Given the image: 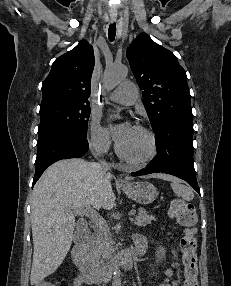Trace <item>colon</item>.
<instances>
[{"label": "colon", "mask_w": 231, "mask_h": 286, "mask_svg": "<svg viewBox=\"0 0 231 286\" xmlns=\"http://www.w3.org/2000/svg\"><path fill=\"white\" fill-rule=\"evenodd\" d=\"M170 215L184 228V233L180 240L184 266L183 286H198L197 240L195 237L197 214L195 207L184 200L176 199L171 203ZM36 286L56 285L49 281H41Z\"/></svg>", "instance_id": "1"}]
</instances>
